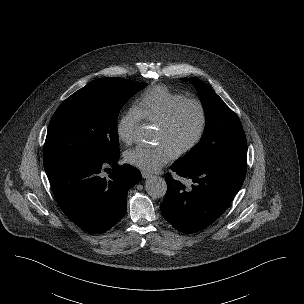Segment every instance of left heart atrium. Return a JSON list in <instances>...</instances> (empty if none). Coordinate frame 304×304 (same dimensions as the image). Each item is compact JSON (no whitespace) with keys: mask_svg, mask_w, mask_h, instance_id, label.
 <instances>
[{"mask_svg":"<svg viewBox=\"0 0 304 304\" xmlns=\"http://www.w3.org/2000/svg\"><path fill=\"white\" fill-rule=\"evenodd\" d=\"M175 156V151L165 144L154 148L139 146L125 154V161L143 171L154 172L168 163Z\"/></svg>","mask_w":304,"mask_h":304,"instance_id":"left-heart-atrium-1","label":"left heart atrium"}]
</instances>
